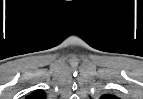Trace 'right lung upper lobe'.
<instances>
[{
  "instance_id": "cb5924a9",
  "label": "right lung upper lobe",
  "mask_w": 143,
  "mask_h": 99,
  "mask_svg": "<svg viewBox=\"0 0 143 99\" xmlns=\"http://www.w3.org/2000/svg\"><path fill=\"white\" fill-rule=\"evenodd\" d=\"M44 97L45 94L42 90H36L28 97V99H44Z\"/></svg>"
}]
</instances>
